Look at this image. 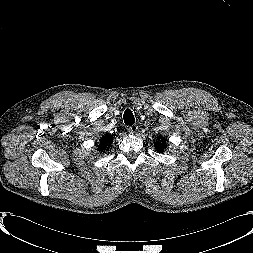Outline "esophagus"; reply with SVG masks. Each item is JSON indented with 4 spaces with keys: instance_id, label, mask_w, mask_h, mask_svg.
Returning <instances> with one entry per match:
<instances>
[{
    "instance_id": "34e87169",
    "label": "esophagus",
    "mask_w": 253,
    "mask_h": 253,
    "mask_svg": "<svg viewBox=\"0 0 253 253\" xmlns=\"http://www.w3.org/2000/svg\"><path fill=\"white\" fill-rule=\"evenodd\" d=\"M128 131L132 134L138 131V126L136 124L129 126Z\"/></svg>"
}]
</instances>
